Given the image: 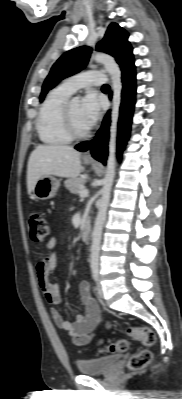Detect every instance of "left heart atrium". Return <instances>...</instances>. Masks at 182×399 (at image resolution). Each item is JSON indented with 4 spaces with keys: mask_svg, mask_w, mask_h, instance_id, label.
<instances>
[{
    "mask_svg": "<svg viewBox=\"0 0 182 399\" xmlns=\"http://www.w3.org/2000/svg\"><path fill=\"white\" fill-rule=\"evenodd\" d=\"M102 101L100 97L90 92L88 93L81 105V116L88 128H90L101 115Z\"/></svg>",
    "mask_w": 182,
    "mask_h": 399,
    "instance_id": "obj_1",
    "label": "left heart atrium"
}]
</instances>
